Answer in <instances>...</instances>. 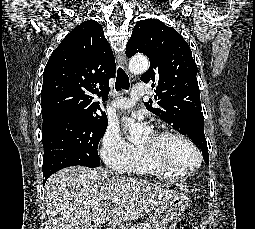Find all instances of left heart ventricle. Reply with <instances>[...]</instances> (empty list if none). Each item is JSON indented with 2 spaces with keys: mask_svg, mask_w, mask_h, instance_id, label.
<instances>
[{
  "mask_svg": "<svg viewBox=\"0 0 255 229\" xmlns=\"http://www.w3.org/2000/svg\"><path fill=\"white\" fill-rule=\"evenodd\" d=\"M141 146L155 151L162 160L178 169L194 166L198 161L194 150L176 137L156 139L150 134Z\"/></svg>",
  "mask_w": 255,
  "mask_h": 229,
  "instance_id": "obj_1",
  "label": "left heart ventricle"
}]
</instances>
